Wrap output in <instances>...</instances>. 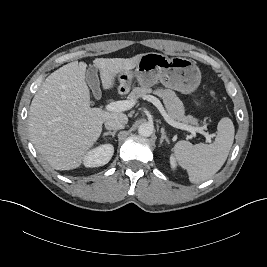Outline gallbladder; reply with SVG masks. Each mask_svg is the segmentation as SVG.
Instances as JSON below:
<instances>
[{"instance_id": "bac80fb5", "label": "gallbladder", "mask_w": 267, "mask_h": 267, "mask_svg": "<svg viewBox=\"0 0 267 267\" xmlns=\"http://www.w3.org/2000/svg\"><path fill=\"white\" fill-rule=\"evenodd\" d=\"M86 81L89 84V86L91 87L94 96L99 99L101 97V91H100V88H99L100 82H99V78H98V75H97L96 67H92L91 66L87 70Z\"/></svg>"}]
</instances>
